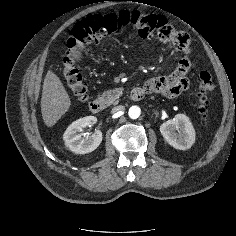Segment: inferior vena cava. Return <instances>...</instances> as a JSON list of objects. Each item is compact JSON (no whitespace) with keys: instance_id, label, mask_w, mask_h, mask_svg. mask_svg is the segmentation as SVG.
Segmentation results:
<instances>
[{"instance_id":"obj_1","label":"inferior vena cava","mask_w":236,"mask_h":236,"mask_svg":"<svg viewBox=\"0 0 236 236\" xmlns=\"http://www.w3.org/2000/svg\"><path fill=\"white\" fill-rule=\"evenodd\" d=\"M125 108H124V106H122V105H119V106H116V107H113V109H112V113H116V112H118V111H122V110H124Z\"/></svg>"}]
</instances>
